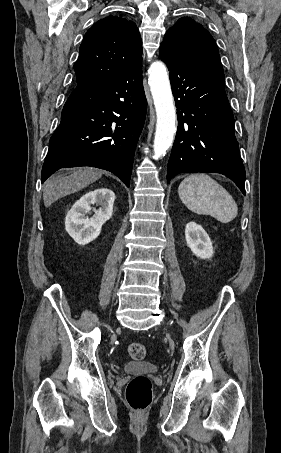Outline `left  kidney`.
<instances>
[{"mask_svg":"<svg viewBox=\"0 0 281 453\" xmlns=\"http://www.w3.org/2000/svg\"><path fill=\"white\" fill-rule=\"evenodd\" d=\"M185 239L189 249L196 257H200V259H211L213 257L212 241L201 224H197L193 220L187 222Z\"/></svg>","mask_w":281,"mask_h":453,"instance_id":"5707ae66","label":"left kidney"}]
</instances>
